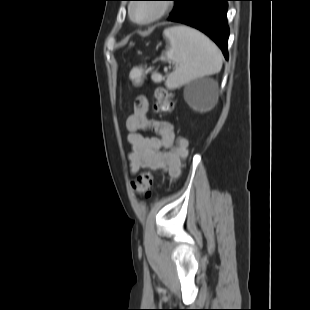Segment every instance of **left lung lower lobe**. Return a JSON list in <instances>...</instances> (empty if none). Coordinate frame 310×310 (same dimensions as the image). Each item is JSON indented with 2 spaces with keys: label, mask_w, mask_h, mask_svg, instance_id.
<instances>
[{
  "label": "left lung lower lobe",
  "mask_w": 310,
  "mask_h": 310,
  "mask_svg": "<svg viewBox=\"0 0 310 310\" xmlns=\"http://www.w3.org/2000/svg\"><path fill=\"white\" fill-rule=\"evenodd\" d=\"M227 1L231 0H186L182 10L172 21L205 33L219 46L227 59Z\"/></svg>",
  "instance_id": "0a47b994"
}]
</instances>
